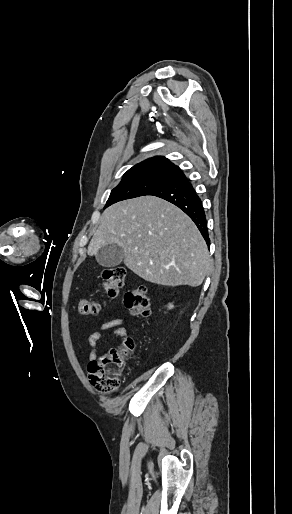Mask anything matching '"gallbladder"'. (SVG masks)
<instances>
[{
	"mask_svg": "<svg viewBox=\"0 0 292 514\" xmlns=\"http://www.w3.org/2000/svg\"><path fill=\"white\" fill-rule=\"evenodd\" d=\"M123 254V248L118 246V244H106V246L99 248L95 258L100 266L114 268V266L121 264L124 258Z\"/></svg>",
	"mask_w": 292,
	"mask_h": 514,
	"instance_id": "1",
	"label": "gallbladder"
}]
</instances>
